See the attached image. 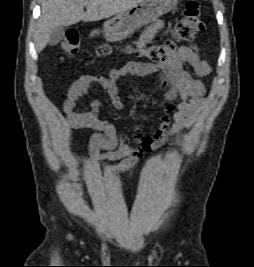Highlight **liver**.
I'll return each mask as SVG.
<instances>
[{
	"label": "liver",
	"mask_w": 254,
	"mask_h": 267,
	"mask_svg": "<svg viewBox=\"0 0 254 267\" xmlns=\"http://www.w3.org/2000/svg\"><path fill=\"white\" fill-rule=\"evenodd\" d=\"M144 0H42L41 15L34 36L35 48L40 53L56 27L69 26L79 21L93 22L119 15L143 3ZM87 11L84 12V7Z\"/></svg>",
	"instance_id": "1"
}]
</instances>
